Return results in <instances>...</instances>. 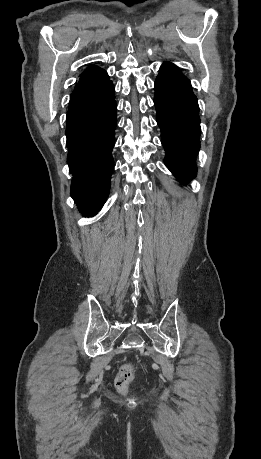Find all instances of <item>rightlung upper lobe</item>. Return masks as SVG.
<instances>
[{
    "mask_svg": "<svg viewBox=\"0 0 261 459\" xmlns=\"http://www.w3.org/2000/svg\"><path fill=\"white\" fill-rule=\"evenodd\" d=\"M109 82V76L105 70L98 66H89L80 75L79 81L70 96L69 106L97 92Z\"/></svg>",
    "mask_w": 261,
    "mask_h": 459,
    "instance_id": "cb5924a9",
    "label": "right lung upper lobe"
}]
</instances>
